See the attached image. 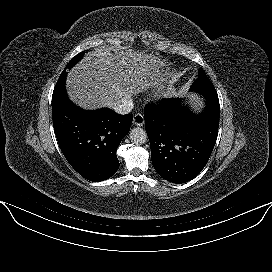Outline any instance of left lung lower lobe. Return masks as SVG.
Returning <instances> with one entry per match:
<instances>
[{
	"mask_svg": "<svg viewBox=\"0 0 272 272\" xmlns=\"http://www.w3.org/2000/svg\"><path fill=\"white\" fill-rule=\"evenodd\" d=\"M199 93L206 99L199 115L183 108L178 98L145 107L152 164L161 177L173 183L194 179L207 164L217 139L220 106L216 90Z\"/></svg>",
	"mask_w": 272,
	"mask_h": 272,
	"instance_id": "left-lung-lower-lobe-1",
	"label": "left lung lower lobe"
}]
</instances>
